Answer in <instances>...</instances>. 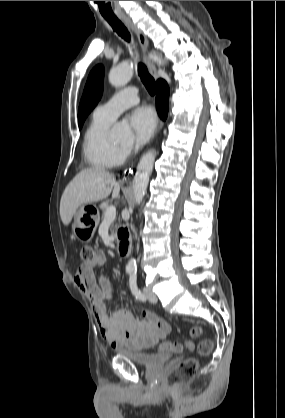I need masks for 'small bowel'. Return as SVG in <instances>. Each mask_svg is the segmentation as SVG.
<instances>
[{"label":"small bowel","mask_w":285,"mask_h":418,"mask_svg":"<svg viewBox=\"0 0 285 418\" xmlns=\"http://www.w3.org/2000/svg\"><path fill=\"white\" fill-rule=\"evenodd\" d=\"M105 262L104 253L98 252L96 259L92 263H82L73 277L91 302L100 335L115 349H138L155 345L157 340L165 338L171 331V326L165 320L150 310H145L141 318H137L128 309L107 311L106 301L112 299L113 291L106 276L96 273V269L103 267ZM194 349V342L189 340L188 350Z\"/></svg>","instance_id":"small-bowel-1"}]
</instances>
